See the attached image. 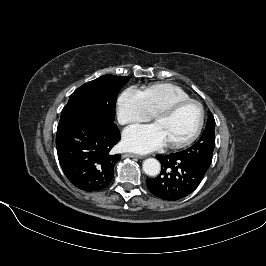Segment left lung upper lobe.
Here are the masks:
<instances>
[{"instance_id":"5c2ea615","label":"left lung upper lobe","mask_w":266,"mask_h":266,"mask_svg":"<svg viewBox=\"0 0 266 266\" xmlns=\"http://www.w3.org/2000/svg\"><path fill=\"white\" fill-rule=\"evenodd\" d=\"M215 120L212 113L209 114L206 128L200 139L191 147L181 152L179 155L199 167L203 171H207L212 160V154L215 147Z\"/></svg>"}]
</instances>
